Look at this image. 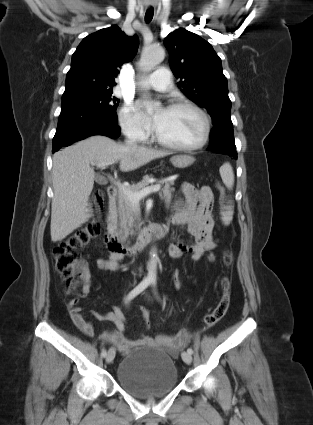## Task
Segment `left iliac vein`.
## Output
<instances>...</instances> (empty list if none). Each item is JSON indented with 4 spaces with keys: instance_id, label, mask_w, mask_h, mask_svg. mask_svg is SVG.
I'll return each mask as SVG.
<instances>
[{
    "instance_id": "obj_1",
    "label": "left iliac vein",
    "mask_w": 313,
    "mask_h": 425,
    "mask_svg": "<svg viewBox=\"0 0 313 425\" xmlns=\"http://www.w3.org/2000/svg\"><path fill=\"white\" fill-rule=\"evenodd\" d=\"M181 357L183 361L187 364H190L192 362V355L188 352H182Z\"/></svg>"
}]
</instances>
